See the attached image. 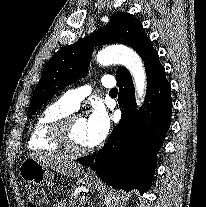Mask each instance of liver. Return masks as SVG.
Wrapping results in <instances>:
<instances>
[{"instance_id":"obj_1","label":"liver","mask_w":206,"mask_h":207,"mask_svg":"<svg viewBox=\"0 0 206 207\" xmlns=\"http://www.w3.org/2000/svg\"><path fill=\"white\" fill-rule=\"evenodd\" d=\"M30 157L46 167L68 177H78L84 172V169L80 164L73 162L64 156L44 153L32 155Z\"/></svg>"}]
</instances>
